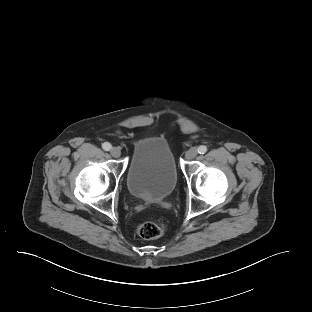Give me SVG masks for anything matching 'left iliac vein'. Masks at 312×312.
<instances>
[{
    "mask_svg": "<svg viewBox=\"0 0 312 312\" xmlns=\"http://www.w3.org/2000/svg\"><path fill=\"white\" fill-rule=\"evenodd\" d=\"M197 154H198L197 149L195 147H192L186 151L185 157L187 160H192L197 156Z\"/></svg>",
    "mask_w": 312,
    "mask_h": 312,
    "instance_id": "4c4485c4",
    "label": "left iliac vein"
}]
</instances>
